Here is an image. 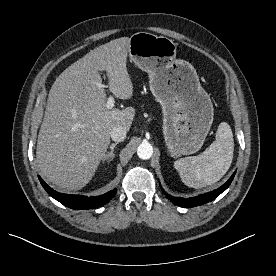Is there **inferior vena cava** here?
Wrapping results in <instances>:
<instances>
[{
    "label": "inferior vena cava",
    "instance_id": "602c4592",
    "mask_svg": "<svg viewBox=\"0 0 276 276\" xmlns=\"http://www.w3.org/2000/svg\"><path fill=\"white\" fill-rule=\"evenodd\" d=\"M127 131L122 126H116L110 132L113 141L121 142L126 138Z\"/></svg>",
    "mask_w": 276,
    "mask_h": 276
}]
</instances>
